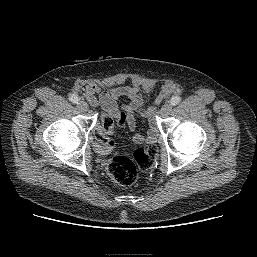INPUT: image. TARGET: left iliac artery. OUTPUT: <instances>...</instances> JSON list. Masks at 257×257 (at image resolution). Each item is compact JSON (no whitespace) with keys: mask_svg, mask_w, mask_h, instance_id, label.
I'll return each instance as SVG.
<instances>
[{"mask_svg":"<svg viewBox=\"0 0 257 257\" xmlns=\"http://www.w3.org/2000/svg\"><path fill=\"white\" fill-rule=\"evenodd\" d=\"M181 102V97L180 96H173L170 100L171 105H177Z\"/></svg>","mask_w":257,"mask_h":257,"instance_id":"obj_1","label":"left iliac artery"}]
</instances>
